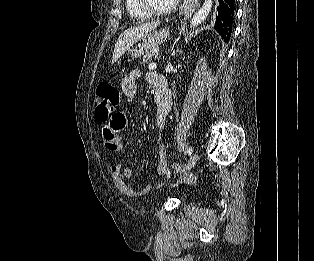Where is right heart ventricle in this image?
Segmentation results:
<instances>
[{"label": "right heart ventricle", "instance_id": "e07e8e85", "mask_svg": "<svg viewBox=\"0 0 314 261\" xmlns=\"http://www.w3.org/2000/svg\"><path fill=\"white\" fill-rule=\"evenodd\" d=\"M126 9L129 16L135 20H146L151 17L150 14L145 12L138 4V0H125Z\"/></svg>", "mask_w": 314, "mask_h": 261}]
</instances>
